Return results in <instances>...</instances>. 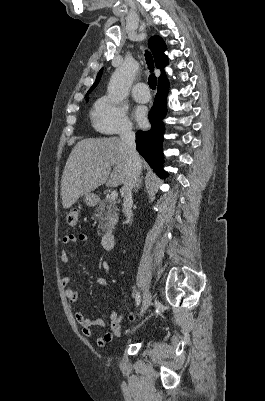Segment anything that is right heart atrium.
<instances>
[{
  "mask_svg": "<svg viewBox=\"0 0 265 401\" xmlns=\"http://www.w3.org/2000/svg\"><path fill=\"white\" fill-rule=\"evenodd\" d=\"M92 118L96 127L106 134L127 135L132 131L126 108L108 95L96 102Z\"/></svg>",
  "mask_w": 265,
  "mask_h": 401,
  "instance_id": "1",
  "label": "right heart atrium"
}]
</instances>
